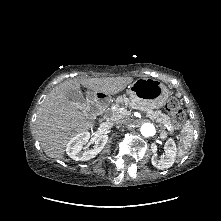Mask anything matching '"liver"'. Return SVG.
Masks as SVG:
<instances>
[{
	"instance_id": "6515ba94",
	"label": "liver",
	"mask_w": 221,
	"mask_h": 221,
	"mask_svg": "<svg viewBox=\"0 0 221 221\" xmlns=\"http://www.w3.org/2000/svg\"><path fill=\"white\" fill-rule=\"evenodd\" d=\"M133 81L132 77H105L68 80L45 97L35 122V135L45 154L51 158L62 159L69 139L94 127L85 112V104L69 102L66 93L70 89L80 91L85 88L106 89L108 95L123 91Z\"/></svg>"
}]
</instances>
